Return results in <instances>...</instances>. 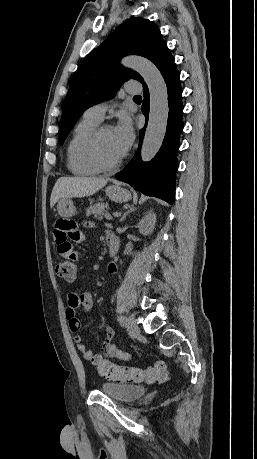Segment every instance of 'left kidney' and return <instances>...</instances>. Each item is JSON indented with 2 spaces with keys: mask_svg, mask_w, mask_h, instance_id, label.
I'll list each match as a JSON object with an SVG mask.
<instances>
[{
  "mask_svg": "<svg viewBox=\"0 0 257 459\" xmlns=\"http://www.w3.org/2000/svg\"><path fill=\"white\" fill-rule=\"evenodd\" d=\"M156 214L149 213L138 223L139 232L144 235H150L155 227Z\"/></svg>",
  "mask_w": 257,
  "mask_h": 459,
  "instance_id": "obj_1",
  "label": "left kidney"
}]
</instances>
